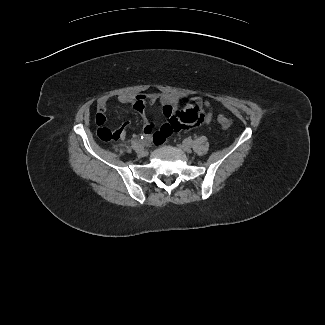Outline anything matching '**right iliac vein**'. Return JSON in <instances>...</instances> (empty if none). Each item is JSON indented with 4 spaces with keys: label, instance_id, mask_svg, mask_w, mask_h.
<instances>
[{
    "label": "right iliac vein",
    "instance_id": "obj_1",
    "mask_svg": "<svg viewBox=\"0 0 325 325\" xmlns=\"http://www.w3.org/2000/svg\"><path fill=\"white\" fill-rule=\"evenodd\" d=\"M136 152L139 157H145L147 155V152L142 146Z\"/></svg>",
    "mask_w": 325,
    "mask_h": 325
}]
</instances>
